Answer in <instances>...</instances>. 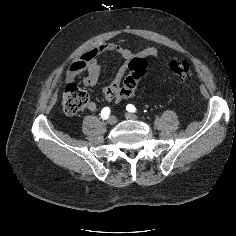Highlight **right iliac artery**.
Listing matches in <instances>:
<instances>
[{
    "label": "right iliac artery",
    "mask_w": 236,
    "mask_h": 236,
    "mask_svg": "<svg viewBox=\"0 0 236 236\" xmlns=\"http://www.w3.org/2000/svg\"><path fill=\"white\" fill-rule=\"evenodd\" d=\"M110 115V108L109 107H104L101 111V118L102 119H107Z\"/></svg>",
    "instance_id": "82829eb1"
}]
</instances>
